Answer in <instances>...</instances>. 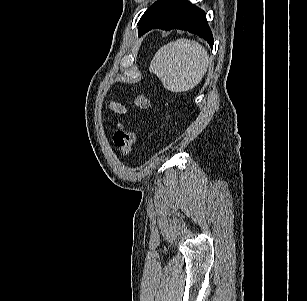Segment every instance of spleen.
I'll return each mask as SVG.
<instances>
[{
  "label": "spleen",
  "instance_id": "1",
  "mask_svg": "<svg viewBox=\"0 0 307 301\" xmlns=\"http://www.w3.org/2000/svg\"><path fill=\"white\" fill-rule=\"evenodd\" d=\"M209 57L198 42L180 38L162 46L154 55L149 71L165 89L185 92L197 86L207 72Z\"/></svg>",
  "mask_w": 307,
  "mask_h": 301
}]
</instances>
